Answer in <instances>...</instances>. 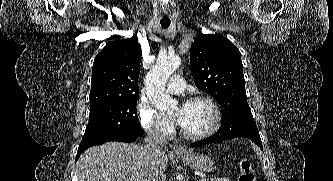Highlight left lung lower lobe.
<instances>
[{
    "mask_svg": "<svg viewBox=\"0 0 333 181\" xmlns=\"http://www.w3.org/2000/svg\"><path fill=\"white\" fill-rule=\"evenodd\" d=\"M231 124H232V121H230V120L222 121V126L219 128L217 133H215L213 136H211L207 139L192 143L191 146L192 147H200V146H203V145H206V144H209V143L219 142V141H223L225 139L236 138V136L230 134L231 129L229 131L227 130V127ZM251 140L254 143H256L261 149H263L261 141L253 140V139H251Z\"/></svg>",
    "mask_w": 333,
    "mask_h": 181,
    "instance_id": "0a47b994",
    "label": "left lung lower lobe"
}]
</instances>
